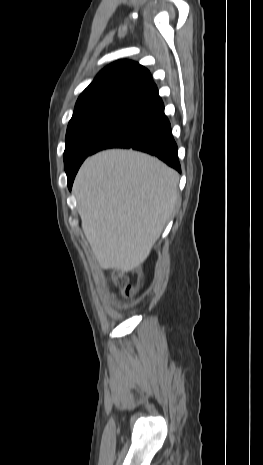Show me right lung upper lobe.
<instances>
[{"mask_svg":"<svg viewBox=\"0 0 263 465\" xmlns=\"http://www.w3.org/2000/svg\"><path fill=\"white\" fill-rule=\"evenodd\" d=\"M156 89L146 68L133 61L120 60L98 73L79 96L75 108L103 99L139 100Z\"/></svg>","mask_w":263,"mask_h":465,"instance_id":"cb5924a9","label":"right lung upper lobe"}]
</instances>
